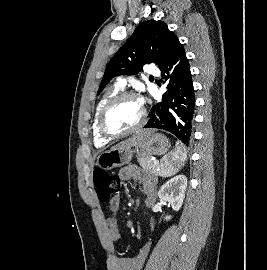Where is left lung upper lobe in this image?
Returning <instances> with one entry per match:
<instances>
[{"mask_svg":"<svg viewBox=\"0 0 267 270\" xmlns=\"http://www.w3.org/2000/svg\"><path fill=\"white\" fill-rule=\"evenodd\" d=\"M177 36L163 21H145L113 56L106 67L98 94L115 76L137 74L152 61L161 68L178 42Z\"/></svg>","mask_w":267,"mask_h":270,"instance_id":"left-lung-upper-lobe-1","label":"left lung upper lobe"}]
</instances>
